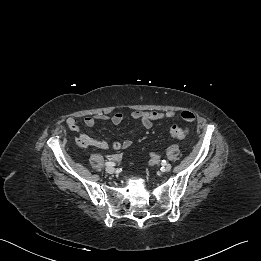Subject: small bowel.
I'll list each match as a JSON object with an SVG mask.
<instances>
[{
  "mask_svg": "<svg viewBox=\"0 0 261 261\" xmlns=\"http://www.w3.org/2000/svg\"><path fill=\"white\" fill-rule=\"evenodd\" d=\"M175 112L173 110H166V111H142V110H135L131 113V117L133 120L138 121L142 124V126L146 129H150L153 126L155 121L163 120V119H170L175 116ZM180 117L185 122H193L195 120V114L192 111H182ZM100 120H108L111 121L114 125H120L124 120V115L120 112H116L112 115L100 113L95 115H89L84 118V124L88 127L93 126L97 121ZM68 127L77 132V143L82 147H95L99 149H107L109 148V144L107 141L92 136L86 132H83L78 123L75 119L70 118L67 120ZM132 144L130 139H126L124 141H117L113 143V148L115 150H121L129 148ZM113 159L119 160L121 158L120 155L112 156ZM153 161L156 160V156L152 155Z\"/></svg>",
  "mask_w": 261,
  "mask_h": 261,
  "instance_id": "small-bowel-1",
  "label": "small bowel"
}]
</instances>
